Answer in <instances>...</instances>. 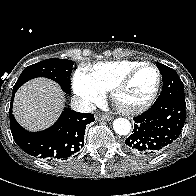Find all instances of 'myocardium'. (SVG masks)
<instances>
[{
    "label": "myocardium",
    "instance_id": "obj_1",
    "mask_svg": "<svg viewBox=\"0 0 196 196\" xmlns=\"http://www.w3.org/2000/svg\"><path fill=\"white\" fill-rule=\"evenodd\" d=\"M144 68H152L157 73V82L156 85L151 93V95L142 103L133 105V106H123L119 102V96L122 93V91L129 85V83L132 81V79L135 77V75L140 72ZM162 84V74L160 69L152 63H142L138 65L137 67L131 69L129 72H127L111 89V99L113 103L120 108L125 113H139L144 110H146L148 107L152 105V103L155 101L160 87Z\"/></svg>",
    "mask_w": 196,
    "mask_h": 196
}]
</instances>
